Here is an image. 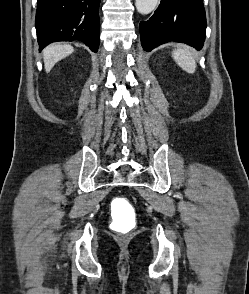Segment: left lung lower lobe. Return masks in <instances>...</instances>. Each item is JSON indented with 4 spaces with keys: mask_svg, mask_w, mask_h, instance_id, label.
<instances>
[{
    "mask_svg": "<svg viewBox=\"0 0 249 294\" xmlns=\"http://www.w3.org/2000/svg\"><path fill=\"white\" fill-rule=\"evenodd\" d=\"M206 35L203 0H162L148 21L140 22L141 43L145 51L170 41L201 49Z\"/></svg>",
    "mask_w": 249,
    "mask_h": 294,
    "instance_id": "left-lung-lower-lobe-1",
    "label": "left lung lower lobe"
}]
</instances>
